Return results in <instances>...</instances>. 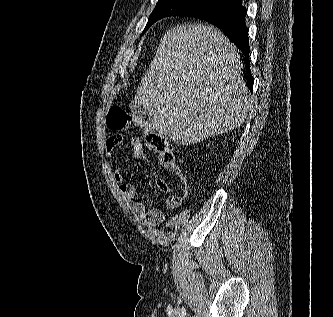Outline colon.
<instances>
[{"label":"colon","mask_w":333,"mask_h":317,"mask_svg":"<svg viewBox=\"0 0 333 317\" xmlns=\"http://www.w3.org/2000/svg\"><path fill=\"white\" fill-rule=\"evenodd\" d=\"M107 126L113 132H122L130 127L139 126L144 129L145 145L158 154L161 164L168 168H176L172 147L159 132L146 126L137 115L129 113L126 109L113 106L107 114ZM183 185H187L184 175L179 173Z\"/></svg>","instance_id":"1"}]
</instances>
